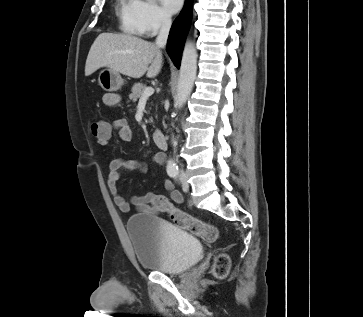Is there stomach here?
Masks as SVG:
<instances>
[{
    "label": "stomach",
    "instance_id": "1",
    "mask_svg": "<svg viewBox=\"0 0 363 317\" xmlns=\"http://www.w3.org/2000/svg\"><path fill=\"white\" fill-rule=\"evenodd\" d=\"M98 82L105 91L109 92L119 90L124 84L121 75L110 68H105L100 71Z\"/></svg>",
    "mask_w": 363,
    "mask_h": 317
}]
</instances>
